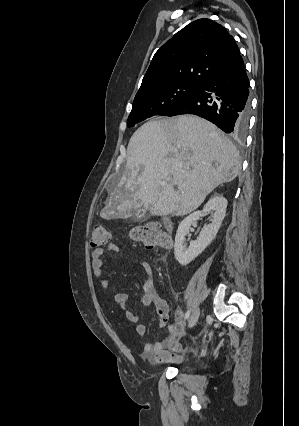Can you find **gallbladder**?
<instances>
[{
    "instance_id": "1",
    "label": "gallbladder",
    "mask_w": 299,
    "mask_h": 426,
    "mask_svg": "<svg viewBox=\"0 0 299 426\" xmlns=\"http://www.w3.org/2000/svg\"><path fill=\"white\" fill-rule=\"evenodd\" d=\"M129 214H134L136 216V220L144 221L149 217L146 209H131L126 212V216Z\"/></svg>"
}]
</instances>
